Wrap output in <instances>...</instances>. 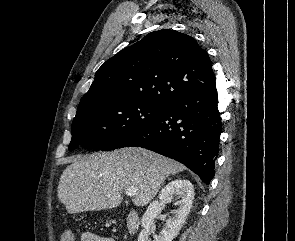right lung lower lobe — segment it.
Returning <instances> with one entry per match:
<instances>
[{
    "label": "right lung lower lobe",
    "instance_id": "1",
    "mask_svg": "<svg viewBox=\"0 0 295 241\" xmlns=\"http://www.w3.org/2000/svg\"><path fill=\"white\" fill-rule=\"evenodd\" d=\"M215 83L172 99L160 114L128 135L118 148L137 146L175 159L209 183L215 173L221 118Z\"/></svg>",
    "mask_w": 295,
    "mask_h": 241
}]
</instances>
